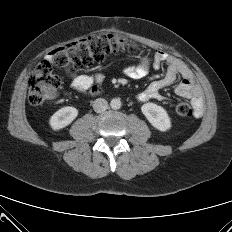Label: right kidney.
Wrapping results in <instances>:
<instances>
[{"label":"right kidney","mask_w":232,"mask_h":232,"mask_svg":"<svg viewBox=\"0 0 232 232\" xmlns=\"http://www.w3.org/2000/svg\"><path fill=\"white\" fill-rule=\"evenodd\" d=\"M78 110L71 106H66L56 111L49 120V125L53 130H60L77 117Z\"/></svg>","instance_id":"obj_1"}]
</instances>
